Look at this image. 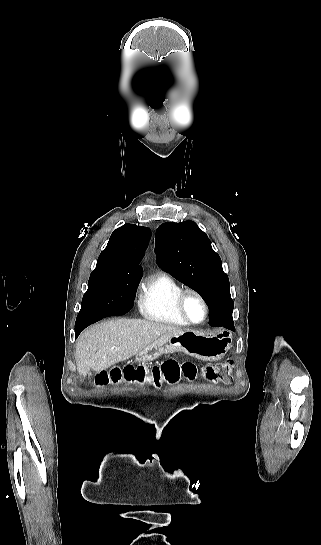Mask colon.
Returning <instances> with one entry per match:
<instances>
[{
    "mask_svg": "<svg viewBox=\"0 0 321 545\" xmlns=\"http://www.w3.org/2000/svg\"><path fill=\"white\" fill-rule=\"evenodd\" d=\"M198 374H201L204 379L213 384H227L232 380V363L223 362L199 367L189 360L169 359L152 367L144 365L126 366L102 371L95 377V383L100 386L117 385L122 382L131 384L148 383L159 387L162 383L176 384L182 377L193 381Z\"/></svg>",
    "mask_w": 321,
    "mask_h": 545,
    "instance_id": "1",
    "label": "colon"
}]
</instances>
